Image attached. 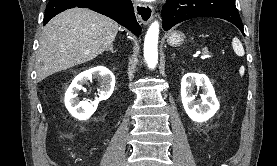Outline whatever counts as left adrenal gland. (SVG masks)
Instances as JSON below:
<instances>
[{"mask_svg": "<svg viewBox=\"0 0 277 166\" xmlns=\"http://www.w3.org/2000/svg\"><path fill=\"white\" fill-rule=\"evenodd\" d=\"M175 57V54L172 55V59Z\"/></svg>", "mask_w": 277, "mask_h": 166, "instance_id": "1", "label": "left adrenal gland"}]
</instances>
